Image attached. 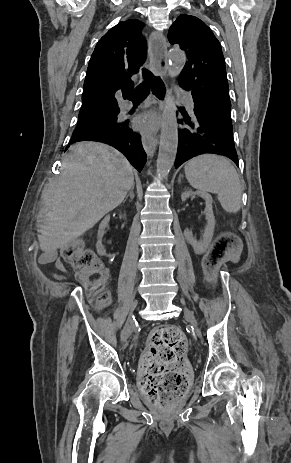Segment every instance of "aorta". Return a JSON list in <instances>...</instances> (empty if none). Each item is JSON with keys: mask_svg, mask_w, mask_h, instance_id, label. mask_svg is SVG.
Masks as SVG:
<instances>
[{"mask_svg": "<svg viewBox=\"0 0 291 463\" xmlns=\"http://www.w3.org/2000/svg\"><path fill=\"white\" fill-rule=\"evenodd\" d=\"M168 72L171 77L178 76L186 62V57L181 51H172L168 55ZM178 148V129L176 118V104L171 91L167 93L161 127L159 153L157 158V173L166 176L175 161Z\"/></svg>", "mask_w": 291, "mask_h": 463, "instance_id": "aorta-1", "label": "aorta"}]
</instances>
